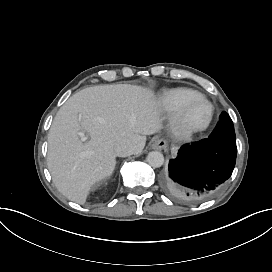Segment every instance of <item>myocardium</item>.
<instances>
[{
  "instance_id": "obj_1",
  "label": "myocardium",
  "mask_w": 272,
  "mask_h": 272,
  "mask_svg": "<svg viewBox=\"0 0 272 272\" xmlns=\"http://www.w3.org/2000/svg\"><path fill=\"white\" fill-rule=\"evenodd\" d=\"M197 98L202 99V100L207 102V104L210 107V117H209L208 121L204 125H201V126L186 125V130L185 131L188 132V133H198V132H202V131L207 130L211 126V124L213 123L214 118H215V106L212 103V101L210 99H208L206 96H204L202 94H198L195 97L184 100L183 102L180 103L179 107L177 108L178 110H180V113L182 115V121L184 122L183 112H184L185 108L187 106H189L191 103H193ZM178 125H179V120H177V118H175L174 119V128L176 130L179 129Z\"/></svg>"
}]
</instances>
